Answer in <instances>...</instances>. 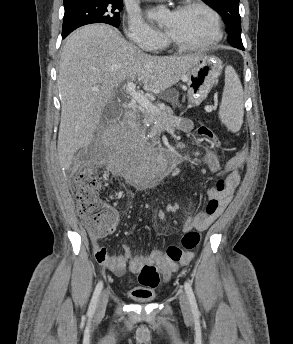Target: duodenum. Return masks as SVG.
<instances>
[{"mask_svg": "<svg viewBox=\"0 0 293 344\" xmlns=\"http://www.w3.org/2000/svg\"><path fill=\"white\" fill-rule=\"evenodd\" d=\"M125 117L127 120H131L133 118V113L127 112ZM168 158H169V165L173 167L180 166L181 164L184 163V158L181 155L176 154V153H169Z\"/></svg>", "mask_w": 293, "mask_h": 344, "instance_id": "obj_1", "label": "duodenum"}]
</instances>
